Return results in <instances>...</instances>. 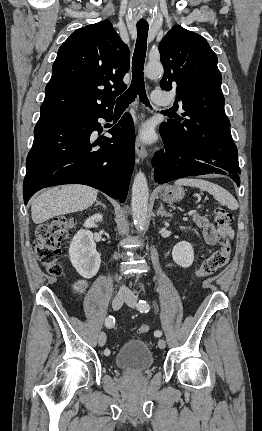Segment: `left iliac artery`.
Instances as JSON below:
<instances>
[{
	"mask_svg": "<svg viewBox=\"0 0 262 431\" xmlns=\"http://www.w3.org/2000/svg\"><path fill=\"white\" fill-rule=\"evenodd\" d=\"M137 307H138V309H139L140 312H148L149 309H150V306L147 303V301H145L143 299L139 300V303H138ZM154 335L156 337H160L162 335V332L160 330H157V331L154 332Z\"/></svg>",
	"mask_w": 262,
	"mask_h": 431,
	"instance_id": "left-iliac-artery-1",
	"label": "left iliac artery"
}]
</instances>
